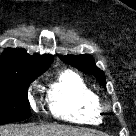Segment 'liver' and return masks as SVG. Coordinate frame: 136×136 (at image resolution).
Listing matches in <instances>:
<instances>
[{"instance_id": "obj_1", "label": "liver", "mask_w": 136, "mask_h": 136, "mask_svg": "<svg viewBox=\"0 0 136 136\" xmlns=\"http://www.w3.org/2000/svg\"><path fill=\"white\" fill-rule=\"evenodd\" d=\"M0 136H96L89 130H80L63 125L0 127Z\"/></svg>"}]
</instances>
